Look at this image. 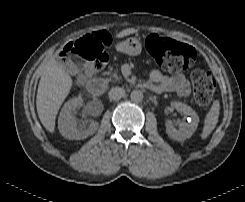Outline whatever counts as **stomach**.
I'll return each mask as SVG.
<instances>
[{
  "label": "stomach",
  "instance_id": "1",
  "mask_svg": "<svg viewBox=\"0 0 245 202\" xmlns=\"http://www.w3.org/2000/svg\"><path fill=\"white\" fill-rule=\"evenodd\" d=\"M118 52L127 54L129 56H137L142 51V44L139 39L135 37L127 38L125 41L116 45Z\"/></svg>",
  "mask_w": 245,
  "mask_h": 202
}]
</instances>
